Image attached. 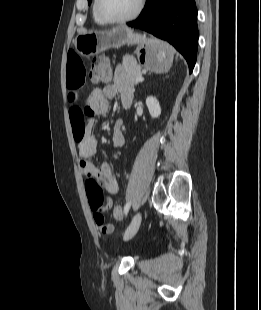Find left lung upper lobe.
<instances>
[{"label": "left lung upper lobe", "mask_w": 261, "mask_h": 310, "mask_svg": "<svg viewBox=\"0 0 261 310\" xmlns=\"http://www.w3.org/2000/svg\"><path fill=\"white\" fill-rule=\"evenodd\" d=\"M92 0H88V3L90 4Z\"/></svg>", "instance_id": "1"}]
</instances>
